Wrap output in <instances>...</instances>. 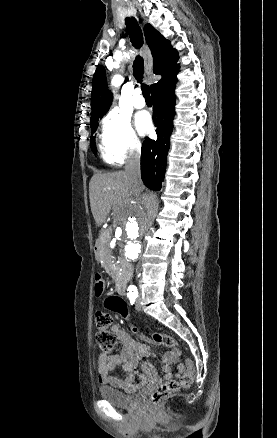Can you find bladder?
Here are the masks:
<instances>
[{
  "label": "bladder",
  "instance_id": "obj_1",
  "mask_svg": "<svg viewBox=\"0 0 277 438\" xmlns=\"http://www.w3.org/2000/svg\"><path fill=\"white\" fill-rule=\"evenodd\" d=\"M97 395L102 399V401L123 409H132L142 400L141 392H134L132 394L125 395L122 391L113 389L111 387L98 389Z\"/></svg>",
  "mask_w": 277,
  "mask_h": 438
}]
</instances>
